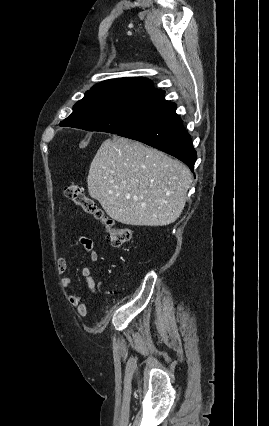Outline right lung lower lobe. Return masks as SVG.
Instances as JSON below:
<instances>
[{
	"label": "right lung lower lobe",
	"instance_id": "obj_1",
	"mask_svg": "<svg viewBox=\"0 0 269 426\" xmlns=\"http://www.w3.org/2000/svg\"><path fill=\"white\" fill-rule=\"evenodd\" d=\"M175 111L176 104L166 101L163 95L145 118L117 135L166 152L184 162L192 170L197 153L193 148L190 135Z\"/></svg>",
	"mask_w": 269,
	"mask_h": 426
}]
</instances>
